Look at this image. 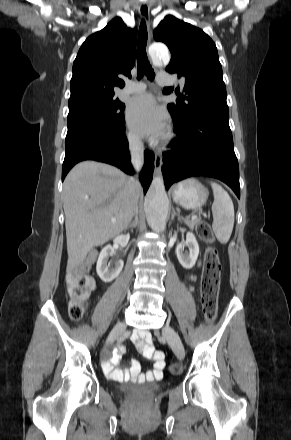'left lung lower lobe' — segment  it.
I'll list each match as a JSON object with an SVG mask.
<instances>
[{"label": "left lung lower lobe", "instance_id": "0a47b994", "mask_svg": "<svg viewBox=\"0 0 291 440\" xmlns=\"http://www.w3.org/2000/svg\"><path fill=\"white\" fill-rule=\"evenodd\" d=\"M178 138L163 153L165 187L191 176H208L229 185L240 198L239 166L234 153L229 113L198 114L174 124Z\"/></svg>", "mask_w": 291, "mask_h": 440}]
</instances>
